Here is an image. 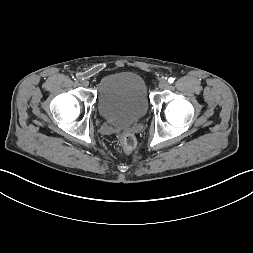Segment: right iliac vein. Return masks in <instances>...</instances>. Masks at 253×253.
Wrapping results in <instances>:
<instances>
[{
    "label": "right iliac vein",
    "mask_w": 253,
    "mask_h": 253,
    "mask_svg": "<svg viewBox=\"0 0 253 253\" xmlns=\"http://www.w3.org/2000/svg\"><path fill=\"white\" fill-rule=\"evenodd\" d=\"M81 84L84 86V87H87L89 85V82L87 80H82L81 81Z\"/></svg>",
    "instance_id": "1"
}]
</instances>
